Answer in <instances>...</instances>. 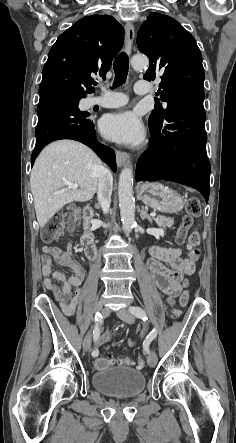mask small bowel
Masks as SVG:
<instances>
[{
  "mask_svg": "<svg viewBox=\"0 0 236 443\" xmlns=\"http://www.w3.org/2000/svg\"><path fill=\"white\" fill-rule=\"evenodd\" d=\"M152 258L148 260L153 283L167 295L170 302L179 298L181 305L187 302L188 294L185 284L188 277L195 272V266L189 259L181 257L177 247L155 246L151 250ZM52 261L72 270L73 275L66 277L63 273L53 270ZM42 273L45 287L53 293L61 308L67 315H72L82 296V284L85 272L70 250L63 251L56 246H45L42 256ZM75 290L74 293L72 292ZM109 339L104 334L95 340L99 345Z\"/></svg>",
  "mask_w": 236,
  "mask_h": 443,
  "instance_id": "small-bowel-1",
  "label": "small bowel"
}]
</instances>
